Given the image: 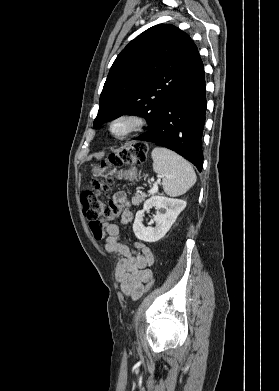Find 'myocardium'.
Returning a JSON list of instances; mask_svg holds the SVG:
<instances>
[{
  "instance_id": "1",
  "label": "myocardium",
  "mask_w": 279,
  "mask_h": 391,
  "mask_svg": "<svg viewBox=\"0 0 279 391\" xmlns=\"http://www.w3.org/2000/svg\"><path fill=\"white\" fill-rule=\"evenodd\" d=\"M144 125V119L134 113H124L113 118L109 123V133L117 140H125Z\"/></svg>"
}]
</instances>
